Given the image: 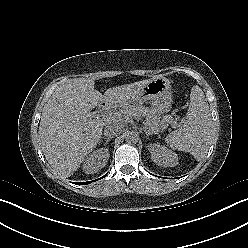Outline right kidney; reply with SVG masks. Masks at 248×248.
Wrapping results in <instances>:
<instances>
[{
    "label": "right kidney",
    "mask_w": 248,
    "mask_h": 248,
    "mask_svg": "<svg viewBox=\"0 0 248 248\" xmlns=\"http://www.w3.org/2000/svg\"><path fill=\"white\" fill-rule=\"evenodd\" d=\"M109 151L107 148H100L90 153L83 164V171L87 174H93L100 171L108 162Z\"/></svg>",
    "instance_id": "obj_1"
}]
</instances>
